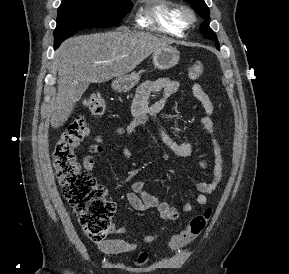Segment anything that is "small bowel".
Here are the masks:
<instances>
[{"mask_svg":"<svg viewBox=\"0 0 289 274\" xmlns=\"http://www.w3.org/2000/svg\"><path fill=\"white\" fill-rule=\"evenodd\" d=\"M180 88L177 80L169 78H159L142 84L133 100L132 112L134 120L127 128L118 127L116 134L119 136H131L134 130L148 121H152L156 127L158 137L163 146L175 157L186 158L196 151L194 142H177L166 132L160 123L159 115L164 109L166 100L176 93ZM192 94L200 102L203 108L201 124L209 135V141L212 147V173L208 180H202L196 185L198 194L193 201L186 203L182 208H176L168 202L160 201L156 196L149 193L142 181L134 182L131 190L125 192V197L131 207L139 212L156 209L159 217L164 221H175L184 214L191 212L195 207L207 204V196L213 193L221 183L225 173V162L223 159L222 148L217 137V130L213 119L214 106L203 87L196 83L192 86ZM95 142L89 146V155L83 159V166L86 170H93L95 166L94 155L104 154L105 149L102 145L104 138L102 135L95 137ZM125 156L130 155V151H123ZM199 166L202 169L208 167L206 159L199 160ZM165 230L161 227L158 232L143 237V243L155 242L160 233ZM111 233L125 234L123 227L112 228ZM139 242H129L121 238H109L97 243L99 251L104 255H117L130 253L138 249Z\"/></svg>","mask_w":289,"mask_h":274,"instance_id":"c3829d8e","label":"small bowel"}]
</instances>
